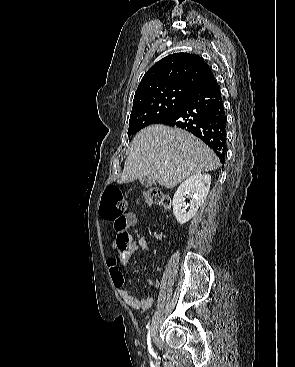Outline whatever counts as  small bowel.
I'll list each match as a JSON object with an SVG mask.
<instances>
[{"instance_id":"obj_1","label":"small bowel","mask_w":295,"mask_h":367,"mask_svg":"<svg viewBox=\"0 0 295 367\" xmlns=\"http://www.w3.org/2000/svg\"><path fill=\"white\" fill-rule=\"evenodd\" d=\"M137 224V216L133 212H128L122 216L120 221L114 222L113 229H114V248L119 247L120 237L125 231L133 227ZM144 248L148 249V246L145 241L142 242ZM107 266L109 268L110 276L113 281L116 290L121 297V299L130 306L138 310L139 313L146 312L154 303V299L152 297L138 299L132 296L126 289H125V278L120 271L117 260L115 257H109L107 259ZM147 284L154 287H159L160 282L158 279L155 280H147Z\"/></svg>"}]
</instances>
